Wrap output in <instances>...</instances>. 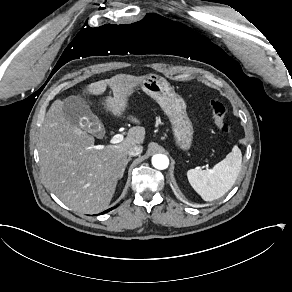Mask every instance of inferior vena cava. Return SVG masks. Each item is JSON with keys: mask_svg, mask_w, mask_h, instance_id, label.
Instances as JSON below:
<instances>
[{"mask_svg": "<svg viewBox=\"0 0 292 292\" xmlns=\"http://www.w3.org/2000/svg\"><path fill=\"white\" fill-rule=\"evenodd\" d=\"M143 147L141 145H135L128 151L129 156H137L142 153Z\"/></svg>", "mask_w": 292, "mask_h": 292, "instance_id": "obj_1", "label": "inferior vena cava"}]
</instances>
